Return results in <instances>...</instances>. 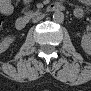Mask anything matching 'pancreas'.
<instances>
[{"label": "pancreas", "mask_w": 91, "mask_h": 91, "mask_svg": "<svg viewBox=\"0 0 91 91\" xmlns=\"http://www.w3.org/2000/svg\"><path fill=\"white\" fill-rule=\"evenodd\" d=\"M26 15H27V16H29V17H32V16H34V15H35V13H34V12H32V11H28V12L26 13Z\"/></svg>", "instance_id": "obj_1"}]
</instances>
